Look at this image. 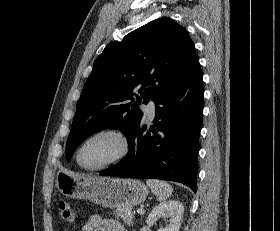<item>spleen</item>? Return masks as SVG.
<instances>
[{
	"label": "spleen",
	"instance_id": "1",
	"mask_svg": "<svg viewBox=\"0 0 280 231\" xmlns=\"http://www.w3.org/2000/svg\"><path fill=\"white\" fill-rule=\"evenodd\" d=\"M146 183H148L149 187H151V191L155 193L158 201H165V199H168L169 195H171L173 191L172 185L167 183V181H160V179H147Z\"/></svg>",
	"mask_w": 280,
	"mask_h": 231
}]
</instances>
